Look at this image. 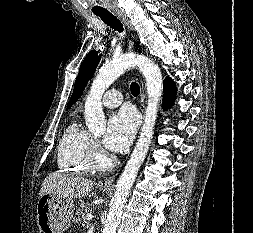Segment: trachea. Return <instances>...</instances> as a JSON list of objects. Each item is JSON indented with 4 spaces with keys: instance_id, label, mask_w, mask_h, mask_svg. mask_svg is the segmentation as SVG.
<instances>
[{
    "instance_id": "1",
    "label": "trachea",
    "mask_w": 253,
    "mask_h": 233,
    "mask_svg": "<svg viewBox=\"0 0 253 233\" xmlns=\"http://www.w3.org/2000/svg\"><path fill=\"white\" fill-rule=\"evenodd\" d=\"M96 15L99 16L105 24H107L114 30H117L119 32L123 31V25L120 22V20L117 19V17L111 14L110 12H101L97 13ZM130 90L132 95L134 96H137L140 93V87L136 82L131 83Z\"/></svg>"
}]
</instances>
